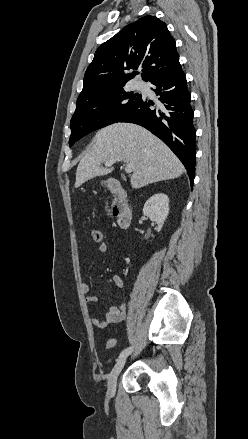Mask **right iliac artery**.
Returning a JSON list of instances; mask_svg holds the SVG:
<instances>
[{
    "mask_svg": "<svg viewBox=\"0 0 248 439\" xmlns=\"http://www.w3.org/2000/svg\"><path fill=\"white\" fill-rule=\"evenodd\" d=\"M132 351H133V347H127L126 349H124V350L120 353L119 358H122V357H124V356L129 355Z\"/></svg>",
    "mask_w": 248,
    "mask_h": 439,
    "instance_id": "1",
    "label": "right iliac artery"
}]
</instances>
